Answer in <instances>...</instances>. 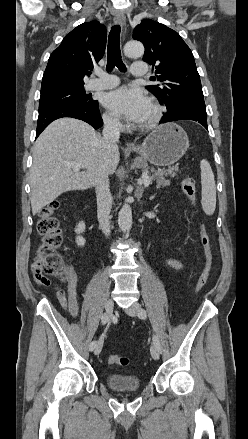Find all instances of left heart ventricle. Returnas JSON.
I'll return each instance as SVG.
<instances>
[{
  "label": "left heart ventricle",
  "instance_id": "obj_1",
  "mask_svg": "<svg viewBox=\"0 0 248 439\" xmlns=\"http://www.w3.org/2000/svg\"><path fill=\"white\" fill-rule=\"evenodd\" d=\"M151 114H152V109H151V107L149 105V107H148V109L146 111V114L143 117V119L141 120V122H144V121L148 120L150 118Z\"/></svg>",
  "mask_w": 248,
  "mask_h": 439
}]
</instances>
